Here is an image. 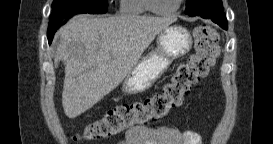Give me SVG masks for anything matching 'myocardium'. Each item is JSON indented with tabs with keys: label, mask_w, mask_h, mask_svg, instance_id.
<instances>
[{
	"label": "myocardium",
	"mask_w": 273,
	"mask_h": 144,
	"mask_svg": "<svg viewBox=\"0 0 273 144\" xmlns=\"http://www.w3.org/2000/svg\"><path fill=\"white\" fill-rule=\"evenodd\" d=\"M156 0H146V8L147 11L149 10L151 13L155 15H171L176 13L179 8L181 7L183 0H178L175 7L168 9V10H160L156 7Z\"/></svg>",
	"instance_id": "1"
}]
</instances>
